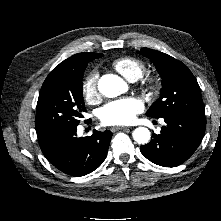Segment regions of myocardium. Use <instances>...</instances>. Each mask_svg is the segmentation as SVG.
<instances>
[{
    "mask_svg": "<svg viewBox=\"0 0 221 221\" xmlns=\"http://www.w3.org/2000/svg\"><path fill=\"white\" fill-rule=\"evenodd\" d=\"M145 87L150 93L157 94L161 89V82L159 77L156 75L149 76L145 80Z\"/></svg>",
    "mask_w": 221,
    "mask_h": 221,
    "instance_id": "myocardium-1",
    "label": "myocardium"
}]
</instances>
